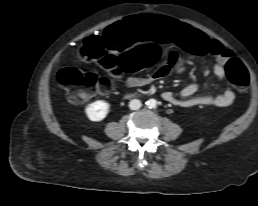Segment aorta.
Segmentation results:
<instances>
[{
	"label": "aorta",
	"instance_id": "aorta-1",
	"mask_svg": "<svg viewBox=\"0 0 258 206\" xmlns=\"http://www.w3.org/2000/svg\"><path fill=\"white\" fill-rule=\"evenodd\" d=\"M156 100L155 99H150L149 101H147V105L150 107V108H155L156 107Z\"/></svg>",
	"mask_w": 258,
	"mask_h": 206
}]
</instances>
